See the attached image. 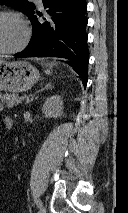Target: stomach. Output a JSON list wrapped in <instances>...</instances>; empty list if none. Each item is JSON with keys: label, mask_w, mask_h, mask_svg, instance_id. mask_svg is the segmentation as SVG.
I'll list each match as a JSON object with an SVG mask.
<instances>
[{"label": "stomach", "mask_w": 128, "mask_h": 213, "mask_svg": "<svg viewBox=\"0 0 128 213\" xmlns=\"http://www.w3.org/2000/svg\"><path fill=\"white\" fill-rule=\"evenodd\" d=\"M39 79V71L27 61L7 62L0 60V90L23 92Z\"/></svg>", "instance_id": "obj_1"}]
</instances>
